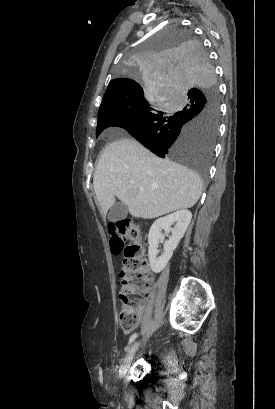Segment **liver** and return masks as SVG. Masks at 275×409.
Instances as JSON below:
<instances>
[{
    "label": "liver",
    "instance_id": "1",
    "mask_svg": "<svg viewBox=\"0 0 275 409\" xmlns=\"http://www.w3.org/2000/svg\"><path fill=\"white\" fill-rule=\"evenodd\" d=\"M93 186L103 217L116 202L132 217L155 219L179 209H190L201 196L200 174L159 158L135 138H119L104 148L94 172Z\"/></svg>",
    "mask_w": 275,
    "mask_h": 409
}]
</instances>
